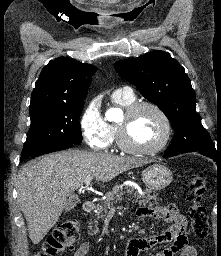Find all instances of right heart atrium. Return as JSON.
<instances>
[{"instance_id": "right-heart-atrium-1", "label": "right heart atrium", "mask_w": 221, "mask_h": 256, "mask_svg": "<svg viewBox=\"0 0 221 256\" xmlns=\"http://www.w3.org/2000/svg\"><path fill=\"white\" fill-rule=\"evenodd\" d=\"M79 125L87 145L97 151L106 150L114 140V134L95 101L83 109Z\"/></svg>"}]
</instances>
